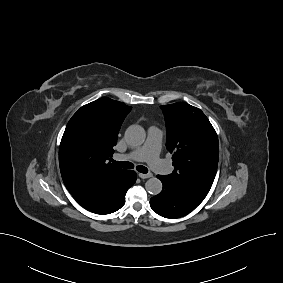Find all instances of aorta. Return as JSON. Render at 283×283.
I'll use <instances>...</instances> for the list:
<instances>
[{
	"instance_id": "762f6f07",
	"label": "aorta",
	"mask_w": 283,
	"mask_h": 283,
	"mask_svg": "<svg viewBox=\"0 0 283 283\" xmlns=\"http://www.w3.org/2000/svg\"><path fill=\"white\" fill-rule=\"evenodd\" d=\"M145 137V130L140 125H131L125 131L126 142L131 146H138L143 144ZM162 187V182L156 177L148 179L145 183L147 192L152 195L159 194L162 191Z\"/></svg>"
}]
</instances>
